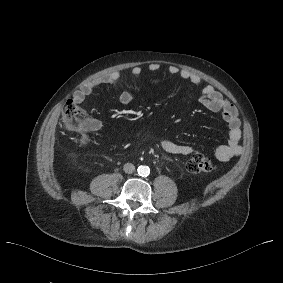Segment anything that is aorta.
<instances>
[{"instance_id":"762f6f07","label":"aorta","mask_w":283,"mask_h":283,"mask_svg":"<svg viewBox=\"0 0 283 283\" xmlns=\"http://www.w3.org/2000/svg\"><path fill=\"white\" fill-rule=\"evenodd\" d=\"M140 176H148L150 174V168L146 165H141L137 169Z\"/></svg>"}]
</instances>
